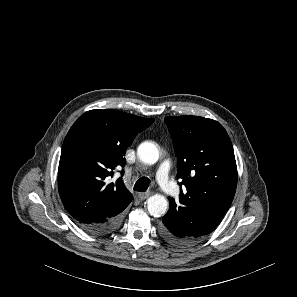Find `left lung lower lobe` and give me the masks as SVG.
<instances>
[{
    "mask_svg": "<svg viewBox=\"0 0 297 297\" xmlns=\"http://www.w3.org/2000/svg\"><path fill=\"white\" fill-rule=\"evenodd\" d=\"M169 202V211L162 219L161 233L163 237L175 245H189L193 243L194 240L185 235L182 227L183 217L179 215V211L176 209L172 198H169Z\"/></svg>",
    "mask_w": 297,
    "mask_h": 297,
    "instance_id": "0a47b994",
    "label": "left lung lower lobe"
}]
</instances>
